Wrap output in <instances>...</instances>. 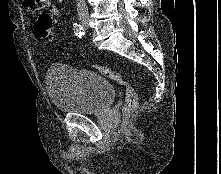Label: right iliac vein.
<instances>
[{"instance_id":"right-iliac-vein-1","label":"right iliac vein","mask_w":221,"mask_h":174,"mask_svg":"<svg viewBox=\"0 0 221 174\" xmlns=\"http://www.w3.org/2000/svg\"><path fill=\"white\" fill-rule=\"evenodd\" d=\"M85 23H87V20H83V21H82V24H83V25H84Z\"/></svg>"}]
</instances>
